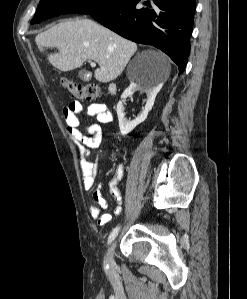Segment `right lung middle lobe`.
<instances>
[{
  "instance_id": "1",
  "label": "right lung middle lobe",
  "mask_w": 247,
  "mask_h": 299,
  "mask_svg": "<svg viewBox=\"0 0 247 299\" xmlns=\"http://www.w3.org/2000/svg\"><path fill=\"white\" fill-rule=\"evenodd\" d=\"M122 0H41L31 24L68 13L91 14Z\"/></svg>"
}]
</instances>
